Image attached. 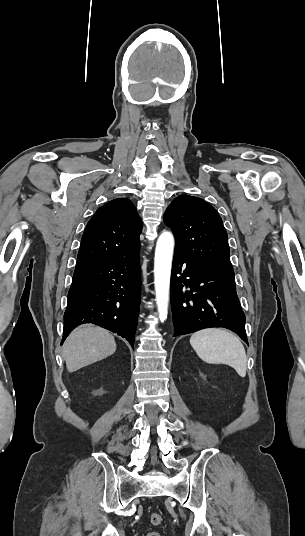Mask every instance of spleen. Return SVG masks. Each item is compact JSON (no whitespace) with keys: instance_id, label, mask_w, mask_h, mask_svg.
I'll return each instance as SVG.
<instances>
[{"instance_id":"spleen-1","label":"spleen","mask_w":305,"mask_h":536,"mask_svg":"<svg viewBox=\"0 0 305 536\" xmlns=\"http://www.w3.org/2000/svg\"><path fill=\"white\" fill-rule=\"evenodd\" d=\"M190 344L203 362L227 364L234 368L241 378H245L247 358L244 346L239 338L228 330L223 328L200 330L192 334Z\"/></svg>"}]
</instances>
